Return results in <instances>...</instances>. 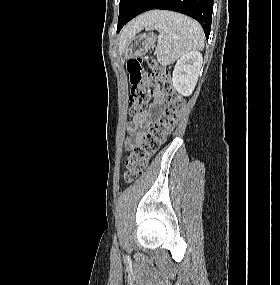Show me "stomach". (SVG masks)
<instances>
[{"label":"stomach","instance_id":"1","mask_svg":"<svg viewBox=\"0 0 280 285\" xmlns=\"http://www.w3.org/2000/svg\"><path fill=\"white\" fill-rule=\"evenodd\" d=\"M156 35L153 33L134 35L125 44L124 57L126 59L142 57L154 45Z\"/></svg>","mask_w":280,"mask_h":285}]
</instances>
